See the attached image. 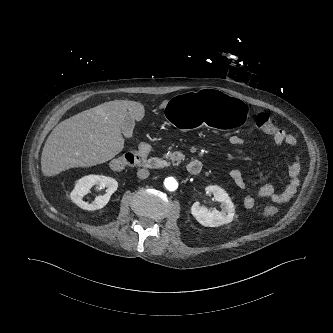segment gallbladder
Returning <instances> with one entry per match:
<instances>
[{
	"label": "gallbladder",
	"instance_id": "obj_1",
	"mask_svg": "<svg viewBox=\"0 0 333 333\" xmlns=\"http://www.w3.org/2000/svg\"><path fill=\"white\" fill-rule=\"evenodd\" d=\"M134 126V118L132 115L127 114L121 126V131L126 138H132Z\"/></svg>",
	"mask_w": 333,
	"mask_h": 333
}]
</instances>
